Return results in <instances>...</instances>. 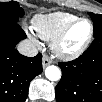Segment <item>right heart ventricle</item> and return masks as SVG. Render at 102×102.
<instances>
[{
	"label": "right heart ventricle",
	"mask_w": 102,
	"mask_h": 102,
	"mask_svg": "<svg viewBox=\"0 0 102 102\" xmlns=\"http://www.w3.org/2000/svg\"><path fill=\"white\" fill-rule=\"evenodd\" d=\"M76 19L75 15L64 12L38 14L33 18L32 27L39 37L46 41H52Z\"/></svg>",
	"instance_id": "1"
}]
</instances>
